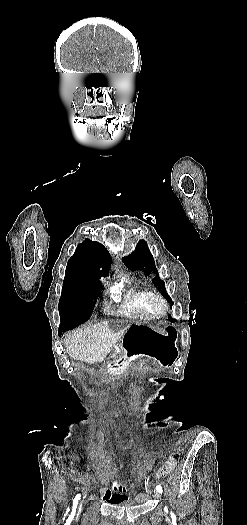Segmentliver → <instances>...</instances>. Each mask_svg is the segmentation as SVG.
<instances>
[{
	"instance_id": "6515ba94",
	"label": "liver",
	"mask_w": 247,
	"mask_h": 525,
	"mask_svg": "<svg viewBox=\"0 0 247 525\" xmlns=\"http://www.w3.org/2000/svg\"><path fill=\"white\" fill-rule=\"evenodd\" d=\"M110 327L108 321L85 325L82 329L73 331L65 339L69 357L74 361L84 363H100L107 355L104 341L109 337Z\"/></svg>"
}]
</instances>
